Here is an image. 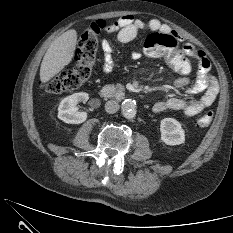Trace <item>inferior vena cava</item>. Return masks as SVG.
I'll list each match as a JSON object with an SVG mask.
<instances>
[{"mask_svg": "<svg viewBox=\"0 0 233 233\" xmlns=\"http://www.w3.org/2000/svg\"><path fill=\"white\" fill-rule=\"evenodd\" d=\"M105 110L109 114L116 113L119 110V104H118V102H116L114 100H110V101L106 102V104H105Z\"/></svg>", "mask_w": 233, "mask_h": 233, "instance_id": "602c4592", "label": "inferior vena cava"}]
</instances>
